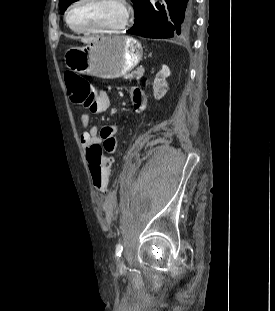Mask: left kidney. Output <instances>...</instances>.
I'll return each mask as SVG.
<instances>
[{"mask_svg":"<svg viewBox=\"0 0 275 311\" xmlns=\"http://www.w3.org/2000/svg\"><path fill=\"white\" fill-rule=\"evenodd\" d=\"M170 70L167 66H163L161 71L157 73L154 79V98L160 100L167 92Z\"/></svg>","mask_w":275,"mask_h":311,"instance_id":"left-kidney-1","label":"left kidney"}]
</instances>
